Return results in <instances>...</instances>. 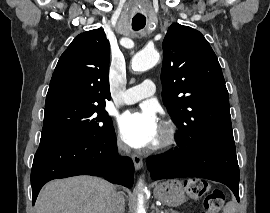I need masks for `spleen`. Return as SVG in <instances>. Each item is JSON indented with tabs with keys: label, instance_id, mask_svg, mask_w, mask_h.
<instances>
[{
	"label": "spleen",
	"instance_id": "1",
	"mask_svg": "<svg viewBox=\"0 0 270 213\" xmlns=\"http://www.w3.org/2000/svg\"><path fill=\"white\" fill-rule=\"evenodd\" d=\"M224 213H235V206L232 202L226 204Z\"/></svg>",
	"mask_w": 270,
	"mask_h": 213
}]
</instances>
